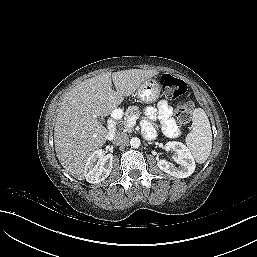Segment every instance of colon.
I'll list each match as a JSON object with an SVG mask.
<instances>
[{
  "label": "colon",
  "instance_id": "colon-1",
  "mask_svg": "<svg viewBox=\"0 0 257 257\" xmlns=\"http://www.w3.org/2000/svg\"><path fill=\"white\" fill-rule=\"evenodd\" d=\"M159 83L166 98L179 99L176 105L177 120L180 124H187L191 119L193 104L181 98L187 91L185 82L169 74H163L159 78Z\"/></svg>",
  "mask_w": 257,
  "mask_h": 257
}]
</instances>
